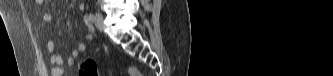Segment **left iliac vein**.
Masks as SVG:
<instances>
[{
    "label": "left iliac vein",
    "instance_id": "1",
    "mask_svg": "<svg viewBox=\"0 0 333 76\" xmlns=\"http://www.w3.org/2000/svg\"><path fill=\"white\" fill-rule=\"evenodd\" d=\"M94 23H95V26L99 30H103L104 29V17H103V15L101 13H97L95 15Z\"/></svg>",
    "mask_w": 333,
    "mask_h": 76
}]
</instances>
